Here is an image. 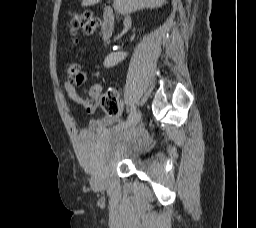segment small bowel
Instances as JSON below:
<instances>
[{
  "mask_svg": "<svg viewBox=\"0 0 256 228\" xmlns=\"http://www.w3.org/2000/svg\"><path fill=\"white\" fill-rule=\"evenodd\" d=\"M87 80V75L85 73H79L77 76L72 78H67L64 82V89L66 90L68 96L75 102L81 103L87 106V102L78 95L76 91V86L81 85ZM88 95L95 101L100 100L102 97V87L99 84L92 85L88 90ZM119 114L115 116H105L99 119H93L89 122L88 127L81 131V136H88L91 133H101L106 130L108 126L113 124L118 119Z\"/></svg>",
  "mask_w": 256,
  "mask_h": 228,
  "instance_id": "c3829d8e",
  "label": "small bowel"
}]
</instances>
